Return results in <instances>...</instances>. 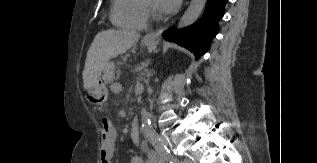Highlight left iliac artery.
Segmentation results:
<instances>
[{
	"instance_id": "obj_1",
	"label": "left iliac artery",
	"mask_w": 317,
	"mask_h": 163,
	"mask_svg": "<svg viewBox=\"0 0 317 163\" xmlns=\"http://www.w3.org/2000/svg\"><path fill=\"white\" fill-rule=\"evenodd\" d=\"M169 162L170 163H178V160L176 158L169 157Z\"/></svg>"
}]
</instances>
